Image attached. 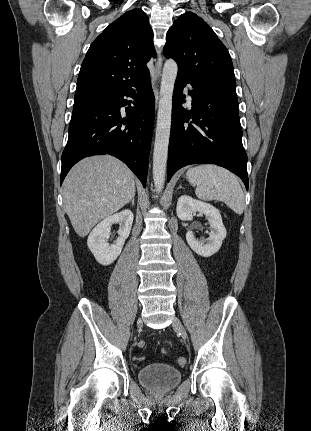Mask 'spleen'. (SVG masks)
Segmentation results:
<instances>
[{"label": "spleen", "mask_w": 311, "mask_h": 431, "mask_svg": "<svg viewBox=\"0 0 311 431\" xmlns=\"http://www.w3.org/2000/svg\"><path fill=\"white\" fill-rule=\"evenodd\" d=\"M187 180L191 186H196L195 194L199 200L224 202L235 214H243L245 198L243 190L234 174L219 168V166H195L189 168Z\"/></svg>", "instance_id": "obj_1"}]
</instances>
